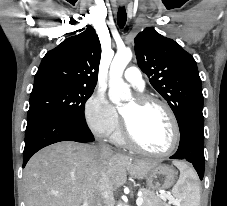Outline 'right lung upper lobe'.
<instances>
[{"label": "right lung upper lobe", "mask_w": 227, "mask_h": 206, "mask_svg": "<svg viewBox=\"0 0 227 206\" xmlns=\"http://www.w3.org/2000/svg\"><path fill=\"white\" fill-rule=\"evenodd\" d=\"M101 45L91 26L48 51L35 75L34 84L46 81L95 88Z\"/></svg>", "instance_id": "1"}]
</instances>
